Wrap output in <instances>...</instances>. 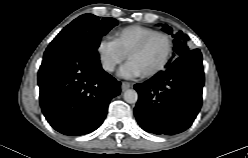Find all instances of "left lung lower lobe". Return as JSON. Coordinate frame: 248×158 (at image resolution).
I'll list each match as a JSON object with an SVG mask.
<instances>
[{
    "mask_svg": "<svg viewBox=\"0 0 248 158\" xmlns=\"http://www.w3.org/2000/svg\"><path fill=\"white\" fill-rule=\"evenodd\" d=\"M204 72L199 49L176 58L165 71L134 86L138 124L147 132L173 135L188 129L202 104Z\"/></svg>",
    "mask_w": 248,
    "mask_h": 158,
    "instance_id": "1",
    "label": "left lung lower lobe"
}]
</instances>
